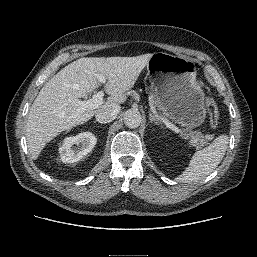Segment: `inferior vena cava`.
<instances>
[{"mask_svg": "<svg viewBox=\"0 0 257 257\" xmlns=\"http://www.w3.org/2000/svg\"><path fill=\"white\" fill-rule=\"evenodd\" d=\"M119 112L120 106L118 104H112L109 107L98 109L95 118L99 123H109L117 117Z\"/></svg>", "mask_w": 257, "mask_h": 257, "instance_id": "1", "label": "inferior vena cava"}]
</instances>
